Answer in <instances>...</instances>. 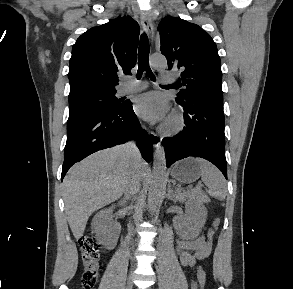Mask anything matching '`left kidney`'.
<instances>
[{
    "mask_svg": "<svg viewBox=\"0 0 293 289\" xmlns=\"http://www.w3.org/2000/svg\"><path fill=\"white\" fill-rule=\"evenodd\" d=\"M207 217V210L204 206L188 207L186 213L181 216V221L178 225V232L183 239L196 238L205 222Z\"/></svg>",
    "mask_w": 293,
    "mask_h": 289,
    "instance_id": "5707ae66",
    "label": "left kidney"
}]
</instances>
